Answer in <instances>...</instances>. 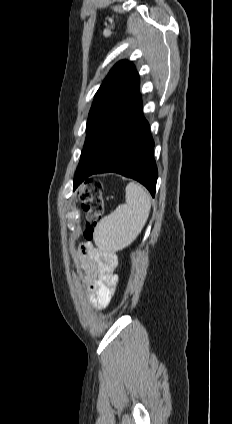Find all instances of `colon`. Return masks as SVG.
<instances>
[{
	"instance_id": "5ec220e1",
	"label": "colon",
	"mask_w": 232,
	"mask_h": 424,
	"mask_svg": "<svg viewBox=\"0 0 232 424\" xmlns=\"http://www.w3.org/2000/svg\"><path fill=\"white\" fill-rule=\"evenodd\" d=\"M77 201L85 212L83 236L90 239L104 213L103 185L98 180H88L77 192Z\"/></svg>"
}]
</instances>
